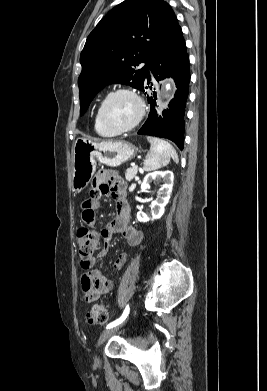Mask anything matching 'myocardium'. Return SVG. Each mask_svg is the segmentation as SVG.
<instances>
[{"instance_id":"1","label":"myocardium","mask_w":267,"mask_h":391,"mask_svg":"<svg viewBox=\"0 0 267 391\" xmlns=\"http://www.w3.org/2000/svg\"><path fill=\"white\" fill-rule=\"evenodd\" d=\"M118 94H128V95L132 96L138 104V114H137L135 120L131 124H129L128 126H125V127H116V126L112 125L111 123L108 122V120L105 116V107H106L107 102L109 101L110 98H112L113 96L118 95ZM145 110H146V107H145V103H144L142 97L134 89L127 88V87H120V88H116V89L110 91L101 101L100 106H99V119L105 128H107L108 130H110L116 134H120V133H125L128 131H131L136 126H138V124L141 122V120L143 119V117L145 115Z\"/></svg>"}]
</instances>
